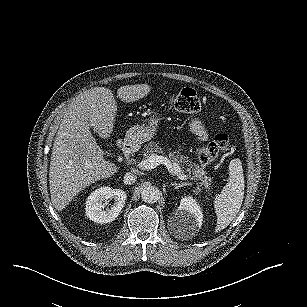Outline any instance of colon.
Listing matches in <instances>:
<instances>
[{
  "mask_svg": "<svg viewBox=\"0 0 307 307\" xmlns=\"http://www.w3.org/2000/svg\"><path fill=\"white\" fill-rule=\"evenodd\" d=\"M169 102L172 107L183 113L194 114L201 108L200 98L191 88H183L175 92L170 97ZM230 149V137L225 133L218 134L211 142L200 149L199 160L202 164H210L219 156L227 154Z\"/></svg>",
  "mask_w": 307,
  "mask_h": 307,
  "instance_id": "obj_1",
  "label": "colon"
}]
</instances>
